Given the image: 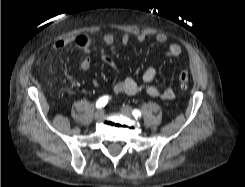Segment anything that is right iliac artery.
I'll return each mask as SVG.
<instances>
[{
    "mask_svg": "<svg viewBox=\"0 0 245 187\" xmlns=\"http://www.w3.org/2000/svg\"><path fill=\"white\" fill-rule=\"evenodd\" d=\"M108 100H109V96H103L99 98L98 101L96 102V108L101 109L108 103Z\"/></svg>",
    "mask_w": 245,
    "mask_h": 187,
    "instance_id": "right-iliac-artery-1",
    "label": "right iliac artery"
}]
</instances>
